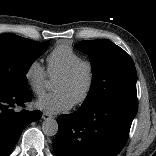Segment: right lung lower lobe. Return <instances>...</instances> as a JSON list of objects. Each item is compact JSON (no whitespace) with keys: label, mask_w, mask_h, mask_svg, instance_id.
I'll use <instances>...</instances> for the list:
<instances>
[{"label":"right lung lower lobe","mask_w":156,"mask_h":156,"mask_svg":"<svg viewBox=\"0 0 156 156\" xmlns=\"http://www.w3.org/2000/svg\"><path fill=\"white\" fill-rule=\"evenodd\" d=\"M29 89L13 90L0 87V156H9L22 130L41 118L40 111L13 110L15 106L30 101Z\"/></svg>","instance_id":"obj_1"}]
</instances>
